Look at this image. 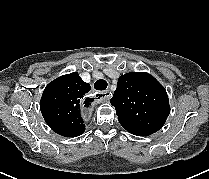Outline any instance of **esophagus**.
<instances>
[{
  "mask_svg": "<svg viewBox=\"0 0 209 179\" xmlns=\"http://www.w3.org/2000/svg\"><path fill=\"white\" fill-rule=\"evenodd\" d=\"M112 93L110 90H105L103 92L95 94H88L85 97V102L81 104V109L83 112L81 113V118L84 121H89L92 118V113L90 112L93 107H95L98 102H102L104 100L110 99Z\"/></svg>",
  "mask_w": 209,
  "mask_h": 179,
  "instance_id": "34e87169",
  "label": "esophagus"
}]
</instances>
